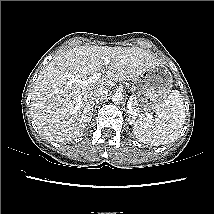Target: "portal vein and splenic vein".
<instances>
[{
    "label": "portal vein and splenic vein",
    "mask_w": 214,
    "mask_h": 214,
    "mask_svg": "<svg viewBox=\"0 0 214 214\" xmlns=\"http://www.w3.org/2000/svg\"><path fill=\"white\" fill-rule=\"evenodd\" d=\"M109 63H110V58L106 57L104 59V64L108 65ZM100 77H101V73L98 72V73H95L92 76H90L87 80L72 79V82L73 83H78V84H81V85H85L88 82H94V81L98 80ZM127 107L132 111L133 107H132V102L131 101H128ZM134 114H136V113L134 112Z\"/></svg>",
    "instance_id": "1"
}]
</instances>
